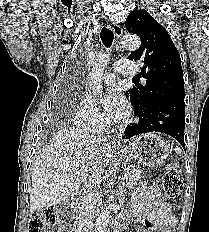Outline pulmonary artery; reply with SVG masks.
Segmentation results:
<instances>
[{"label":"pulmonary artery","instance_id":"1","mask_svg":"<svg viewBox=\"0 0 209 232\" xmlns=\"http://www.w3.org/2000/svg\"><path fill=\"white\" fill-rule=\"evenodd\" d=\"M113 71L122 75H135L137 73L133 64L127 60H119L113 66ZM116 76L112 72H107L103 75V81L106 84H113Z\"/></svg>","mask_w":209,"mask_h":232}]
</instances>
